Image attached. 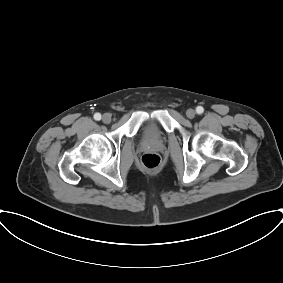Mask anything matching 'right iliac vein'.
<instances>
[{
	"mask_svg": "<svg viewBox=\"0 0 283 283\" xmlns=\"http://www.w3.org/2000/svg\"><path fill=\"white\" fill-rule=\"evenodd\" d=\"M111 115L109 113H105L103 116H102V121L105 123V124H108L111 122Z\"/></svg>",
	"mask_w": 283,
	"mask_h": 283,
	"instance_id": "obj_1",
	"label": "right iliac vein"
}]
</instances>
